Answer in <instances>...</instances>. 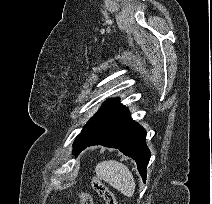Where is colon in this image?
Returning a JSON list of instances; mask_svg holds the SVG:
<instances>
[{
	"mask_svg": "<svg viewBox=\"0 0 212 204\" xmlns=\"http://www.w3.org/2000/svg\"><path fill=\"white\" fill-rule=\"evenodd\" d=\"M92 189L104 200L105 204H117L113 192L97 177L91 180ZM80 204H93L91 195L85 191L79 192Z\"/></svg>",
	"mask_w": 212,
	"mask_h": 204,
	"instance_id": "1",
	"label": "colon"
}]
</instances>
